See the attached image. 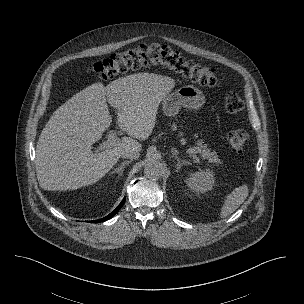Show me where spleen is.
<instances>
[{"label":"spleen","instance_id":"obj_1","mask_svg":"<svg viewBox=\"0 0 304 304\" xmlns=\"http://www.w3.org/2000/svg\"><path fill=\"white\" fill-rule=\"evenodd\" d=\"M248 192V186L244 184L228 194L221 208L220 217L225 218L232 214L245 201Z\"/></svg>","mask_w":304,"mask_h":304}]
</instances>
